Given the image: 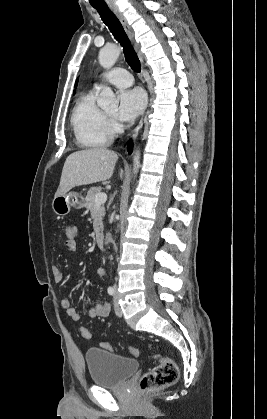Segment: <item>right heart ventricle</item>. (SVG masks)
I'll return each instance as SVG.
<instances>
[{"mask_svg": "<svg viewBox=\"0 0 267 419\" xmlns=\"http://www.w3.org/2000/svg\"><path fill=\"white\" fill-rule=\"evenodd\" d=\"M96 90L82 94L71 114V125L79 145L100 148L108 145L111 130L106 113L96 103Z\"/></svg>", "mask_w": 267, "mask_h": 419, "instance_id": "obj_1", "label": "right heart ventricle"}]
</instances>
